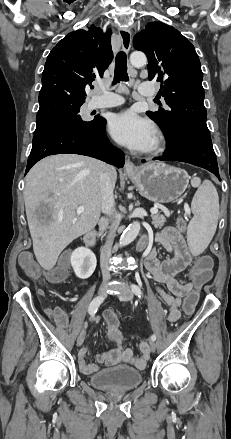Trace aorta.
<instances>
[{"label":"aorta","instance_id":"1","mask_svg":"<svg viewBox=\"0 0 231 439\" xmlns=\"http://www.w3.org/2000/svg\"><path fill=\"white\" fill-rule=\"evenodd\" d=\"M147 58L143 52L135 51L130 55V63L134 67H142L146 64ZM140 223L135 221L131 223L122 233L119 239V246L124 247L130 244L139 234Z\"/></svg>","mask_w":231,"mask_h":439}]
</instances>
